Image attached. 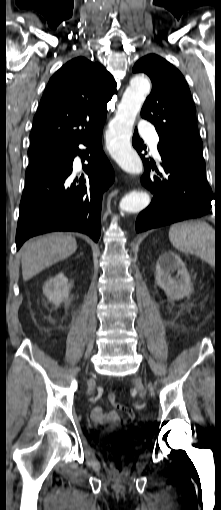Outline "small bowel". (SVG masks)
<instances>
[{
  "instance_id": "1",
  "label": "small bowel",
  "mask_w": 221,
  "mask_h": 510,
  "mask_svg": "<svg viewBox=\"0 0 221 510\" xmlns=\"http://www.w3.org/2000/svg\"><path fill=\"white\" fill-rule=\"evenodd\" d=\"M118 409L124 410L125 407L119 404ZM91 418L99 423L105 425H117L120 422V416L116 411L105 412L101 406H95L91 410Z\"/></svg>"
}]
</instances>
